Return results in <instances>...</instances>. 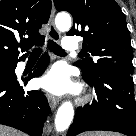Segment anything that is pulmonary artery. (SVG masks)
Segmentation results:
<instances>
[{
    "label": "pulmonary artery",
    "mask_w": 136,
    "mask_h": 136,
    "mask_svg": "<svg viewBox=\"0 0 136 136\" xmlns=\"http://www.w3.org/2000/svg\"><path fill=\"white\" fill-rule=\"evenodd\" d=\"M62 45L67 51H77L79 49L78 41L73 37L64 38Z\"/></svg>",
    "instance_id": "1"
}]
</instances>
